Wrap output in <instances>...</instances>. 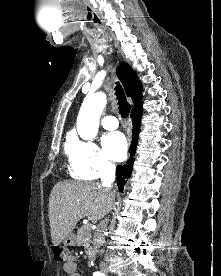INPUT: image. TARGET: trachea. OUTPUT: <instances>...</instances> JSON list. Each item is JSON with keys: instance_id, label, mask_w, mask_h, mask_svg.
<instances>
[{"instance_id": "obj_1", "label": "trachea", "mask_w": 221, "mask_h": 276, "mask_svg": "<svg viewBox=\"0 0 221 276\" xmlns=\"http://www.w3.org/2000/svg\"><path fill=\"white\" fill-rule=\"evenodd\" d=\"M115 95L117 96L118 105H119V113L122 116V118H127L130 112V104L127 102L125 93L122 89V87L117 83V86L115 87Z\"/></svg>"}]
</instances>
